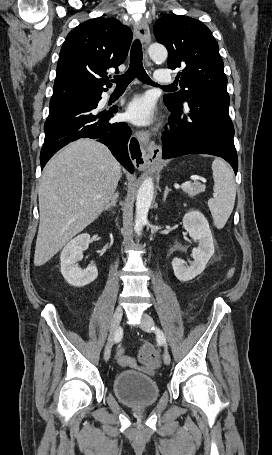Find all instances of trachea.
Returning a JSON list of instances; mask_svg holds the SVG:
<instances>
[{"label":"trachea","mask_w":272,"mask_h":455,"mask_svg":"<svg viewBox=\"0 0 272 455\" xmlns=\"http://www.w3.org/2000/svg\"><path fill=\"white\" fill-rule=\"evenodd\" d=\"M142 60V45L140 40L136 39L132 44L130 52V65L128 70L122 75L114 76V79L112 80L114 83H116V87H127L135 78H138L145 84L157 86V84H155L147 75L143 67ZM164 87L170 88L172 86L168 85Z\"/></svg>","instance_id":"obj_1"}]
</instances>
